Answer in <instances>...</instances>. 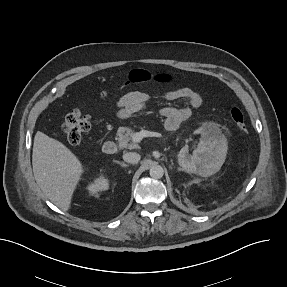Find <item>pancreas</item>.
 Masks as SVG:
<instances>
[{
	"instance_id": "pancreas-1",
	"label": "pancreas",
	"mask_w": 287,
	"mask_h": 287,
	"mask_svg": "<svg viewBox=\"0 0 287 287\" xmlns=\"http://www.w3.org/2000/svg\"><path fill=\"white\" fill-rule=\"evenodd\" d=\"M134 131L127 127H119L117 131L119 148L135 149L138 145L133 142L132 136Z\"/></svg>"
}]
</instances>
